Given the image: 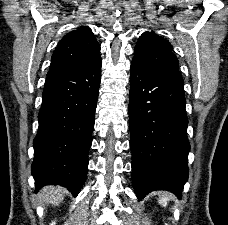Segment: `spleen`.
<instances>
[{"label": "spleen", "instance_id": "obj_1", "mask_svg": "<svg viewBox=\"0 0 228 225\" xmlns=\"http://www.w3.org/2000/svg\"><path fill=\"white\" fill-rule=\"evenodd\" d=\"M171 195L170 193H162L159 197V203L162 205V207H167L168 201H170Z\"/></svg>", "mask_w": 228, "mask_h": 225}]
</instances>
